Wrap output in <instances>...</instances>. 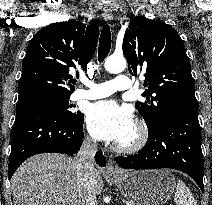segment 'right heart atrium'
<instances>
[{"mask_svg":"<svg viewBox=\"0 0 212 205\" xmlns=\"http://www.w3.org/2000/svg\"><path fill=\"white\" fill-rule=\"evenodd\" d=\"M87 141H88L89 143H92V140H91L90 138H87Z\"/></svg>","mask_w":212,"mask_h":205,"instance_id":"obj_1","label":"right heart atrium"}]
</instances>
